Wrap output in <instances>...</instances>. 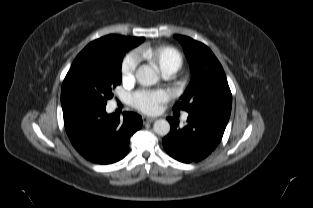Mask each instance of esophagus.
<instances>
[{"label":"esophagus","mask_w":313,"mask_h":208,"mask_svg":"<svg viewBox=\"0 0 313 208\" xmlns=\"http://www.w3.org/2000/svg\"><path fill=\"white\" fill-rule=\"evenodd\" d=\"M155 120H156L155 118L143 117L144 124L154 122Z\"/></svg>","instance_id":"1"}]
</instances>
